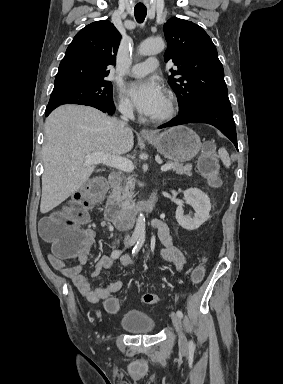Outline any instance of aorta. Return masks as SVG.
<instances>
[{
	"mask_svg": "<svg viewBox=\"0 0 283 384\" xmlns=\"http://www.w3.org/2000/svg\"><path fill=\"white\" fill-rule=\"evenodd\" d=\"M164 48L165 43L162 39H147L140 44L139 53L145 56L155 55L162 52ZM134 234L137 237L145 236V217L142 213L137 218Z\"/></svg>",
	"mask_w": 283,
	"mask_h": 384,
	"instance_id": "1",
	"label": "aorta"
}]
</instances>
